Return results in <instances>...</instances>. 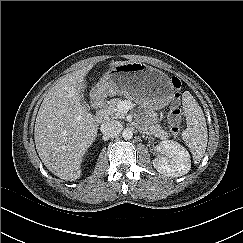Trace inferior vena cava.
Masks as SVG:
<instances>
[{"mask_svg":"<svg viewBox=\"0 0 243 243\" xmlns=\"http://www.w3.org/2000/svg\"><path fill=\"white\" fill-rule=\"evenodd\" d=\"M123 129L122 124L117 120H111L101 125V133L106 137H115Z\"/></svg>","mask_w":243,"mask_h":243,"instance_id":"602c4592","label":"inferior vena cava"}]
</instances>
